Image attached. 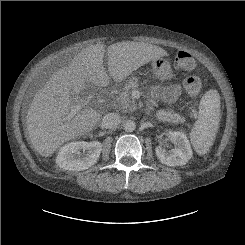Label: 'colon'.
Here are the masks:
<instances>
[{
  "label": "colon",
  "instance_id": "obj_1",
  "mask_svg": "<svg viewBox=\"0 0 245 245\" xmlns=\"http://www.w3.org/2000/svg\"><path fill=\"white\" fill-rule=\"evenodd\" d=\"M176 67L184 72L194 70L196 62L194 56L186 49L178 50L175 55ZM187 96L191 99L198 97L202 90V81L200 76L194 74L188 76L183 83Z\"/></svg>",
  "mask_w": 245,
  "mask_h": 245
}]
</instances>
